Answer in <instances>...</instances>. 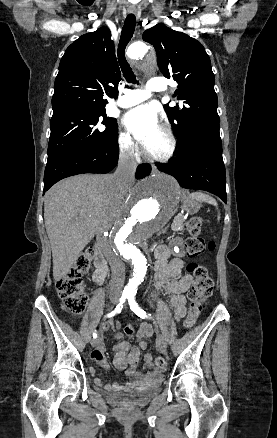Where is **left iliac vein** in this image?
<instances>
[{
  "label": "left iliac vein",
  "mask_w": 277,
  "mask_h": 438,
  "mask_svg": "<svg viewBox=\"0 0 277 438\" xmlns=\"http://www.w3.org/2000/svg\"><path fill=\"white\" fill-rule=\"evenodd\" d=\"M160 344L163 348H165L167 346L166 339L163 335L160 336Z\"/></svg>",
  "instance_id": "4c4485c4"
}]
</instances>
